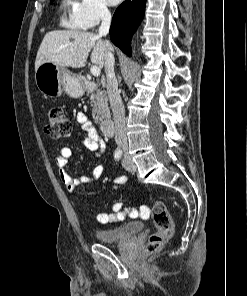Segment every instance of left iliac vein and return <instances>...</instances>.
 Instances as JSON below:
<instances>
[{
	"label": "left iliac vein",
	"instance_id": "4c4485c4",
	"mask_svg": "<svg viewBox=\"0 0 247 296\" xmlns=\"http://www.w3.org/2000/svg\"><path fill=\"white\" fill-rule=\"evenodd\" d=\"M123 167L129 171V172H135L136 171V166L134 162L131 159H127L123 161Z\"/></svg>",
	"mask_w": 247,
	"mask_h": 296
}]
</instances>
